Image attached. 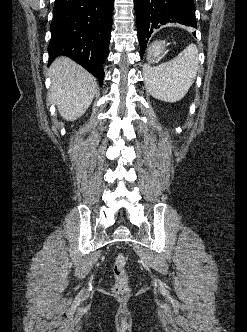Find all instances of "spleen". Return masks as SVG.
Returning a JSON list of instances; mask_svg holds the SVG:
<instances>
[{"instance_id":"3e777b00","label":"spleen","mask_w":247,"mask_h":332,"mask_svg":"<svg viewBox=\"0 0 247 332\" xmlns=\"http://www.w3.org/2000/svg\"><path fill=\"white\" fill-rule=\"evenodd\" d=\"M199 68L198 50L190 44L174 59L144 71L148 92L166 102L181 100L193 84Z\"/></svg>"}]
</instances>
